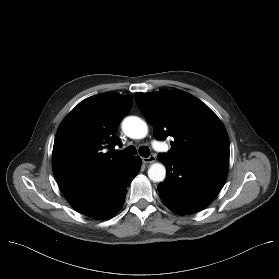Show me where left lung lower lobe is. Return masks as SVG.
<instances>
[{"mask_svg":"<svg viewBox=\"0 0 279 279\" xmlns=\"http://www.w3.org/2000/svg\"><path fill=\"white\" fill-rule=\"evenodd\" d=\"M167 176L157 187L159 196L175 213L191 214L209 205L223 187L228 169L189 164L159 154Z\"/></svg>","mask_w":279,"mask_h":279,"instance_id":"obj_1","label":"left lung lower lobe"}]
</instances>
